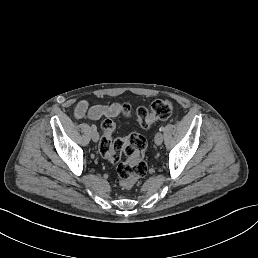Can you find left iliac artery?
Segmentation results:
<instances>
[{"label": "left iliac artery", "instance_id": "obj_1", "mask_svg": "<svg viewBox=\"0 0 258 258\" xmlns=\"http://www.w3.org/2000/svg\"><path fill=\"white\" fill-rule=\"evenodd\" d=\"M164 129H165L164 126H161V127L159 128V131L162 132V131H164Z\"/></svg>", "mask_w": 258, "mask_h": 258}]
</instances>
